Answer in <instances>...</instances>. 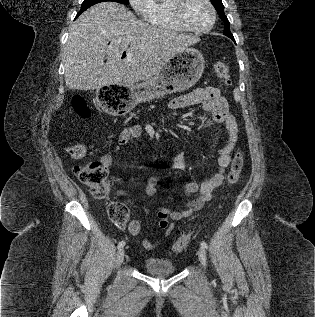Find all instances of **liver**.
<instances>
[{"instance_id": "1", "label": "liver", "mask_w": 315, "mask_h": 317, "mask_svg": "<svg viewBox=\"0 0 315 317\" xmlns=\"http://www.w3.org/2000/svg\"><path fill=\"white\" fill-rule=\"evenodd\" d=\"M199 41L196 36L150 27L118 3H100L70 27L65 83L77 90L133 86L155 77L175 54Z\"/></svg>"}]
</instances>
